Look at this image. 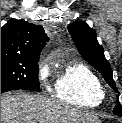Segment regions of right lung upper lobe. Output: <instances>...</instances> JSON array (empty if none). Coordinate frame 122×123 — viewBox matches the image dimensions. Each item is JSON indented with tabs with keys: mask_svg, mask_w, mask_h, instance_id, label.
I'll use <instances>...</instances> for the list:
<instances>
[{
	"mask_svg": "<svg viewBox=\"0 0 122 123\" xmlns=\"http://www.w3.org/2000/svg\"><path fill=\"white\" fill-rule=\"evenodd\" d=\"M47 41L42 26L11 19L1 28V55L39 57Z\"/></svg>",
	"mask_w": 122,
	"mask_h": 123,
	"instance_id": "right-lung-upper-lobe-1",
	"label": "right lung upper lobe"
}]
</instances>
